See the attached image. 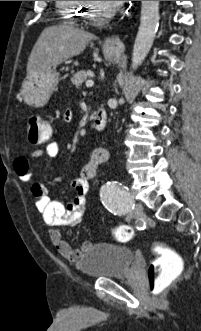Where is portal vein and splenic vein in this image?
Here are the masks:
<instances>
[{
    "label": "portal vein and splenic vein",
    "instance_id": "portal-vein-and-splenic-vein-1",
    "mask_svg": "<svg viewBox=\"0 0 201 331\" xmlns=\"http://www.w3.org/2000/svg\"><path fill=\"white\" fill-rule=\"evenodd\" d=\"M93 85H94V82L92 80L86 81V87L90 88V87H93Z\"/></svg>",
    "mask_w": 201,
    "mask_h": 331
}]
</instances>
